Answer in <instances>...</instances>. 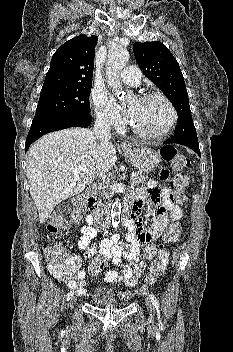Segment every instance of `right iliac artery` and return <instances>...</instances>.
<instances>
[{
	"label": "right iliac artery",
	"mask_w": 233,
	"mask_h": 352,
	"mask_svg": "<svg viewBox=\"0 0 233 352\" xmlns=\"http://www.w3.org/2000/svg\"><path fill=\"white\" fill-rule=\"evenodd\" d=\"M73 291L68 292L67 294V300H69L73 296Z\"/></svg>",
	"instance_id": "obj_1"
}]
</instances>
